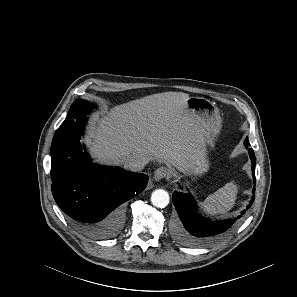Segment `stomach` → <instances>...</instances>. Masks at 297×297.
Masks as SVG:
<instances>
[{"label": "stomach", "mask_w": 297, "mask_h": 297, "mask_svg": "<svg viewBox=\"0 0 297 297\" xmlns=\"http://www.w3.org/2000/svg\"><path fill=\"white\" fill-rule=\"evenodd\" d=\"M187 109L200 119L204 128L205 142L185 169L191 179L196 180L209 170V150L220 132L221 116L216 105L203 97H189Z\"/></svg>", "instance_id": "obj_1"}]
</instances>
